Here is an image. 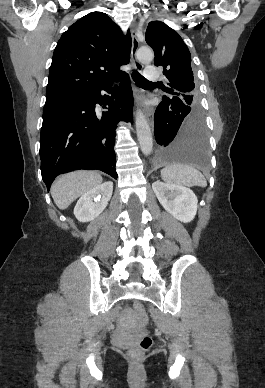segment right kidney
<instances>
[{"instance_id": "right-kidney-1", "label": "right kidney", "mask_w": 265, "mask_h": 388, "mask_svg": "<svg viewBox=\"0 0 265 388\" xmlns=\"http://www.w3.org/2000/svg\"><path fill=\"white\" fill-rule=\"evenodd\" d=\"M113 182H104L81 196L74 208V216L79 222H91L102 214L112 198Z\"/></svg>"}]
</instances>
